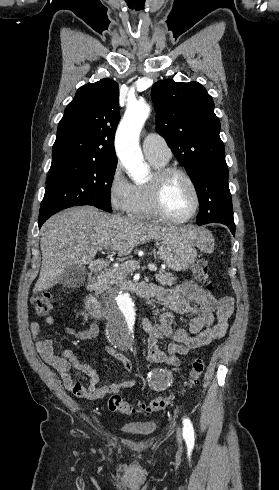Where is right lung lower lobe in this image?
Wrapping results in <instances>:
<instances>
[{"label":"right lung lower lobe","mask_w":279,"mask_h":490,"mask_svg":"<svg viewBox=\"0 0 279 490\" xmlns=\"http://www.w3.org/2000/svg\"><path fill=\"white\" fill-rule=\"evenodd\" d=\"M79 206H82V205H79ZM45 221H46L45 219H39V221H38L39 228H41L42 224H43Z\"/></svg>","instance_id":"right-lung-lower-lobe-1"}]
</instances>
